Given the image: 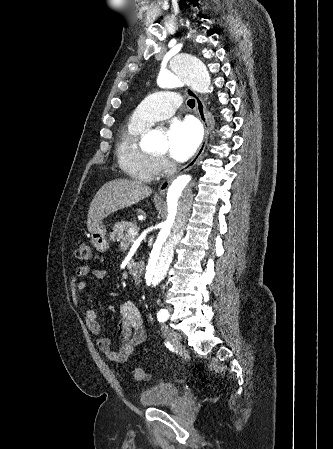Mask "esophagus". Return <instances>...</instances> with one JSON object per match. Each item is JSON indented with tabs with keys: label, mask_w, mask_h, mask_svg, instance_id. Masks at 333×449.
Wrapping results in <instances>:
<instances>
[{
	"label": "esophagus",
	"mask_w": 333,
	"mask_h": 449,
	"mask_svg": "<svg viewBox=\"0 0 333 449\" xmlns=\"http://www.w3.org/2000/svg\"><path fill=\"white\" fill-rule=\"evenodd\" d=\"M187 94L193 98L195 100V104H196V111L197 114L199 116V119L201 120L203 126H204V139L201 143V145L199 146L196 154L194 155V157L183 167L182 172H186L188 170H190L198 161V159L201 157V155L204 153V150L206 148V144L208 141V136H209V120H208V116H207V110H206V106L203 102V100L201 99V97L190 87H188L186 89ZM173 178H169L166 181H164L163 183H161V185L158 188V192L160 195L165 194L167 188L169 187L171 181Z\"/></svg>",
	"instance_id": "1"
}]
</instances>
